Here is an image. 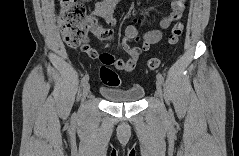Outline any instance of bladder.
Wrapping results in <instances>:
<instances>
[{
    "instance_id": "bladder-1",
    "label": "bladder",
    "mask_w": 239,
    "mask_h": 156,
    "mask_svg": "<svg viewBox=\"0 0 239 156\" xmlns=\"http://www.w3.org/2000/svg\"><path fill=\"white\" fill-rule=\"evenodd\" d=\"M101 93L109 102L133 103L140 101L143 98L145 89L143 87H132L126 90L103 88Z\"/></svg>"
}]
</instances>
